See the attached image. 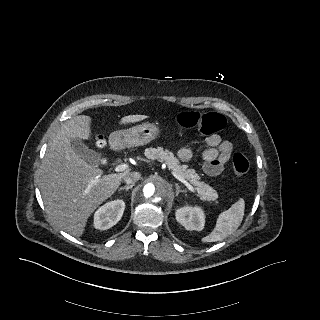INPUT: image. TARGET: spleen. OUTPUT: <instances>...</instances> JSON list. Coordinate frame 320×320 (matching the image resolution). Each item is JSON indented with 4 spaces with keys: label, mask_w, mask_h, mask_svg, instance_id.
I'll return each mask as SVG.
<instances>
[{
    "label": "spleen",
    "mask_w": 320,
    "mask_h": 320,
    "mask_svg": "<svg viewBox=\"0 0 320 320\" xmlns=\"http://www.w3.org/2000/svg\"><path fill=\"white\" fill-rule=\"evenodd\" d=\"M245 201L240 198L228 210L221 212L213 231L202 238V242H216L230 236L242 223Z\"/></svg>",
    "instance_id": "obj_1"
}]
</instances>
